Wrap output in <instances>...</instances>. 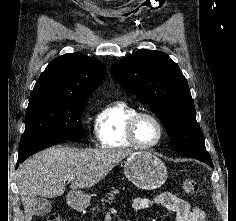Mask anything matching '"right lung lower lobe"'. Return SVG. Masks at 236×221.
Listing matches in <instances>:
<instances>
[{"label": "right lung lower lobe", "mask_w": 236, "mask_h": 221, "mask_svg": "<svg viewBox=\"0 0 236 221\" xmlns=\"http://www.w3.org/2000/svg\"><path fill=\"white\" fill-rule=\"evenodd\" d=\"M56 143L57 142L39 143L19 150L17 165L22 163L27 157L33 155L34 153L53 146Z\"/></svg>", "instance_id": "98d812e1"}]
</instances>
